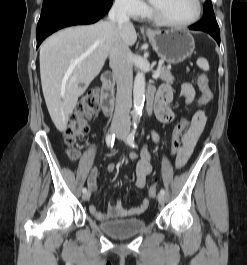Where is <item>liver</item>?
Segmentation results:
<instances>
[{"label":"liver","mask_w":247,"mask_h":265,"mask_svg":"<svg viewBox=\"0 0 247 265\" xmlns=\"http://www.w3.org/2000/svg\"><path fill=\"white\" fill-rule=\"evenodd\" d=\"M118 39L132 46L137 40L133 26L111 21L69 27L58 31L40 47V76L43 95L56 128H67L78 98L97 77Z\"/></svg>","instance_id":"1"}]
</instances>
